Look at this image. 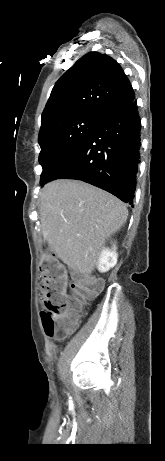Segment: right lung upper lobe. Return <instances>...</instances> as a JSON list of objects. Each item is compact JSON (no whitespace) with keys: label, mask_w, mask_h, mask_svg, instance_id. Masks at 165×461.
I'll return each mask as SVG.
<instances>
[{"label":"right lung upper lobe","mask_w":165,"mask_h":461,"mask_svg":"<svg viewBox=\"0 0 165 461\" xmlns=\"http://www.w3.org/2000/svg\"><path fill=\"white\" fill-rule=\"evenodd\" d=\"M133 100V88L121 66L106 54L90 52L56 82L42 113L40 133L59 120L102 119Z\"/></svg>","instance_id":"obj_1"}]
</instances>
